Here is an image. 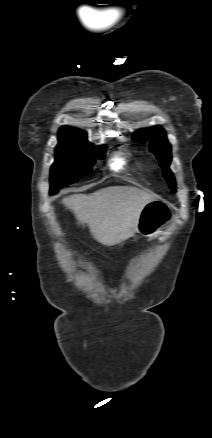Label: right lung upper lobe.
Listing matches in <instances>:
<instances>
[{
    "label": "right lung upper lobe",
    "mask_w": 212,
    "mask_h": 438,
    "mask_svg": "<svg viewBox=\"0 0 212 438\" xmlns=\"http://www.w3.org/2000/svg\"><path fill=\"white\" fill-rule=\"evenodd\" d=\"M58 138L64 140H86V133L80 129L63 126L59 130Z\"/></svg>",
    "instance_id": "right-lung-upper-lobe-1"
}]
</instances>
